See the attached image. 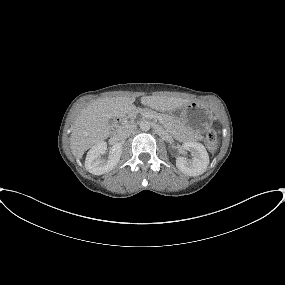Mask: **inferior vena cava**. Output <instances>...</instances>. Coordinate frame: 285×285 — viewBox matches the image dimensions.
<instances>
[{"label":"inferior vena cava","mask_w":285,"mask_h":285,"mask_svg":"<svg viewBox=\"0 0 285 285\" xmlns=\"http://www.w3.org/2000/svg\"><path fill=\"white\" fill-rule=\"evenodd\" d=\"M136 130V125L133 123H127L125 125L120 126L117 129V135L120 138H127Z\"/></svg>","instance_id":"inferior-vena-cava-1"}]
</instances>
